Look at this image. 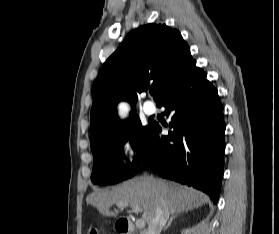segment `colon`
I'll list each match as a JSON object with an SVG mask.
<instances>
[{
  "instance_id": "obj_1",
  "label": "colon",
  "mask_w": 279,
  "mask_h": 234,
  "mask_svg": "<svg viewBox=\"0 0 279 234\" xmlns=\"http://www.w3.org/2000/svg\"><path fill=\"white\" fill-rule=\"evenodd\" d=\"M88 234H100V232L97 229L92 228L88 231Z\"/></svg>"
}]
</instances>
